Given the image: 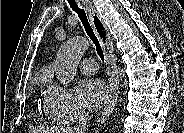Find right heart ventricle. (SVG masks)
<instances>
[{
  "instance_id": "obj_1",
  "label": "right heart ventricle",
  "mask_w": 184,
  "mask_h": 133,
  "mask_svg": "<svg viewBox=\"0 0 184 133\" xmlns=\"http://www.w3.org/2000/svg\"><path fill=\"white\" fill-rule=\"evenodd\" d=\"M46 76V74H42L41 75V78H44ZM46 108V107H45ZM46 112H47V110H46ZM47 114L50 116V114L47 112ZM51 117V116H50ZM52 118V117H51ZM54 121H57V120H55L54 118H52Z\"/></svg>"
}]
</instances>
